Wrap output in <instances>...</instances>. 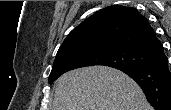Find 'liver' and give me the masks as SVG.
Segmentation results:
<instances>
[{"mask_svg": "<svg viewBox=\"0 0 171 110\" xmlns=\"http://www.w3.org/2000/svg\"><path fill=\"white\" fill-rule=\"evenodd\" d=\"M52 110L153 109L129 76L107 66H90L58 78Z\"/></svg>", "mask_w": 171, "mask_h": 110, "instance_id": "obj_1", "label": "liver"}]
</instances>
